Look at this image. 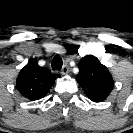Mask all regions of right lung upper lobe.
I'll return each mask as SVG.
<instances>
[{"instance_id":"obj_1","label":"right lung upper lobe","mask_w":133,"mask_h":133,"mask_svg":"<svg viewBox=\"0 0 133 133\" xmlns=\"http://www.w3.org/2000/svg\"><path fill=\"white\" fill-rule=\"evenodd\" d=\"M59 77L58 74H52L48 68L40 67L33 61L21 69L16 87L25 98L38 100L48 93L55 79Z\"/></svg>"}]
</instances>
